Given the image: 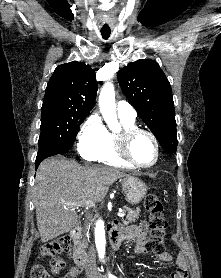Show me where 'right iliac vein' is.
<instances>
[{
  "label": "right iliac vein",
  "instance_id": "obj_1",
  "mask_svg": "<svg viewBox=\"0 0 221 278\" xmlns=\"http://www.w3.org/2000/svg\"><path fill=\"white\" fill-rule=\"evenodd\" d=\"M88 278H95V277L91 275V276H89Z\"/></svg>",
  "mask_w": 221,
  "mask_h": 278
}]
</instances>
